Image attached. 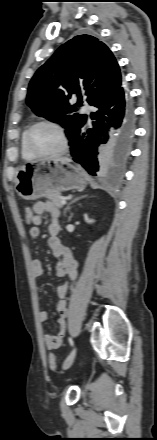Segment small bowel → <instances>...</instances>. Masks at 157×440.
I'll return each mask as SVG.
<instances>
[{"instance_id": "1", "label": "small bowel", "mask_w": 157, "mask_h": 440, "mask_svg": "<svg viewBox=\"0 0 157 440\" xmlns=\"http://www.w3.org/2000/svg\"><path fill=\"white\" fill-rule=\"evenodd\" d=\"M33 212L35 214V220L31 228L29 229V235L32 238H38L40 236L43 219L42 215L47 212L50 218V224L48 227L50 238L48 240L51 252L53 256L57 259L56 273L60 278L65 279V282L58 287L57 294L59 300L56 304V311L58 314V324L60 325V330L57 335H45L44 342L49 350L58 349L65 338L66 334V322L65 318L68 315L67 307V295L70 284L74 282L77 277L78 264L71 250L65 247L58 238V233L60 230L59 226V216L60 210L56 204L53 202H36L33 205ZM32 274L34 277H40L44 273V268L41 260L34 259L31 263ZM39 319L41 322H46L48 315L45 311L39 313Z\"/></svg>"}]
</instances>
